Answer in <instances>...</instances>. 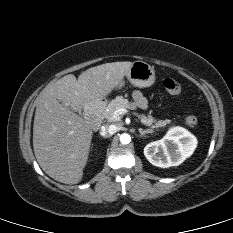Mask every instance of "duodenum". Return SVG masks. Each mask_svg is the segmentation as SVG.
<instances>
[{
	"mask_svg": "<svg viewBox=\"0 0 233 233\" xmlns=\"http://www.w3.org/2000/svg\"><path fill=\"white\" fill-rule=\"evenodd\" d=\"M101 104L90 105L86 109V119L90 125L93 127H99L101 123Z\"/></svg>",
	"mask_w": 233,
	"mask_h": 233,
	"instance_id": "obj_1",
	"label": "duodenum"
}]
</instances>
